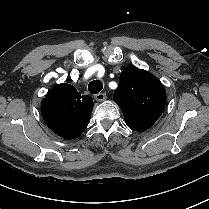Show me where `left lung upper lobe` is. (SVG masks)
Instances as JSON below:
<instances>
[{
    "instance_id": "5c2ea615",
    "label": "left lung upper lobe",
    "mask_w": 209,
    "mask_h": 209,
    "mask_svg": "<svg viewBox=\"0 0 209 209\" xmlns=\"http://www.w3.org/2000/svg\"><path fill=\"white\" fill-rule=\"evenodd\" d=\"M113 100L123 112L125 123L134 131L150 128L161 116L166 91L151 73L139 68H126L120 74Z\"/></svg>"
}]
</instances>
